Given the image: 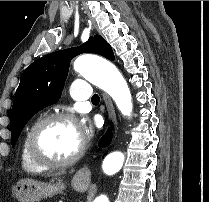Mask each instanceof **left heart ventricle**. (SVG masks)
<instances>
[{
    "label": "left heart ventricle",
    "mask_w": 209,
    "mask_h": 202,
    "mask_svg": "<svg viewBox=\"0 0 209 202\" xmlns=\"http://www.w3.org/2000/svg\"><path fill=\"white\" fill-rule=\"evenodd\" d=\"M81 139L77 125L67 121H55L40 130L35 145L41 157L62 161L78 150Z\"/></svg>",
    "instance_id": "left-heart-ventricle-1"
}]
</instances>
